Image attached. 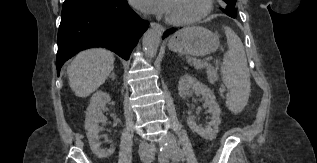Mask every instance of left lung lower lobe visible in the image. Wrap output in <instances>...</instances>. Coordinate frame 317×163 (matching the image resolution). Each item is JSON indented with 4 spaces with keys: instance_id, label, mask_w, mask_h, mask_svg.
Wrapping results in <instances>:
<instances>
[{
    "instance_id": "1",
    "label": "left lung lower lobe",
    "mask_w": 317,
    "mask_h": 163,
    "mask_svg": "<svg viewBox=\"0 0 317 163\" xmlns=\"http://www.w3.org/2000/svg\"><path fill=\"white\" fill-rule=\"evenodd\" d=\"M175 31V29H170V30H167L165 33H164V37H167L169 34L173 33Z\"/></svg>"
}]
</instances>
